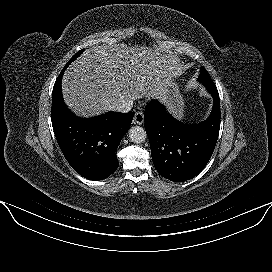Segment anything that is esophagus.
<instances>
[{"label": "esophagus", "mask_w": 272, "mask_h": 272, "mask_svg": "<svg viewBox=\"0 0 272 272\" xmlns=\"http://www.w3.org/2000/svg\"><path fill=\"white\" fill-rule=\"evenodd\" d=\"M134 124H138L141 125L144 122V114L143 112H136L134 115V120H133Z\"/></svg>", "instance_id": "esophagus-1"}]
</instances>
